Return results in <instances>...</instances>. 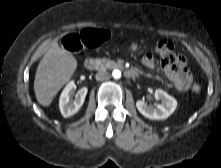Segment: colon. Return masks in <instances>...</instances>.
Instances as JSON below:
<instances>
[{
    "instance_id": "obj_1",
    "label": "colon",
    "mask_w": 221,
    "mask_h": 168,
    "mask_svg": "<svg viewBox=\"0 0 221 168\" xmlns=\"http://www.w3.org/2000/svg\"><path fill=\"white\" fill-rule=\"evenodd\" d=\"M110 37V32L105 29H85L78 34H68L66 35L61 44L63 48L70 52H77L81 50L84 46L95 47L102 42L106 41ZM156 50L158 53L167 56L173 52V44L167 39H162L158 41L156 45ZM194 92H199L201 90L200 85L192 84L191 86Z\"/></svg>"
}]
</instances>
